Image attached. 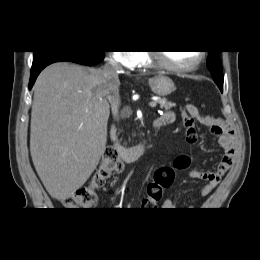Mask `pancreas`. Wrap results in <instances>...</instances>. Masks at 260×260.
<instances>
[{"mask_svg":"<svg viewBox=\"0 0 260 260\" xmlns=\"http://www.w3.org/2000/svg\"><path fill=\"white\" fill-rule=\"evenodd\" d=\"M157 103L160 105L161 109H165V110H170L171 108H173L175 106L174 103L167 101V99L163 98V99H159L157 100ZM131 114L130 110L128 108H126L123 113H122V117H129Z\"/></svg>","mask_w":260,"mask_h":260,"instance_id":"obj_1","label":"pancreas"}]
</instances>
